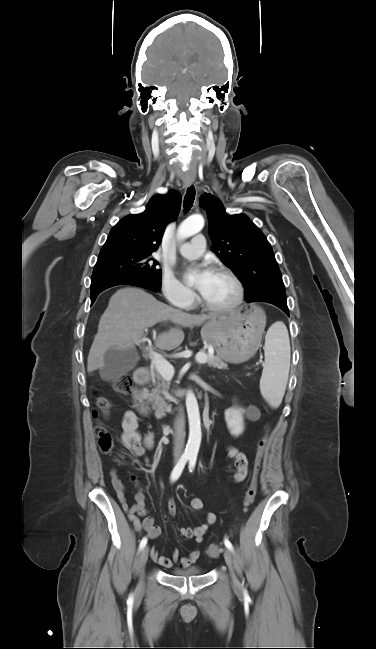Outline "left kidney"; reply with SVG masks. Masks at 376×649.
<instances>
[{"label":"left kidney","mask_w":376,"mask_h":649,"mask_svg":"<svg viewBox=\"0 0 376 649\" xmlns=\"http://www.w3.org/2000/svg\"><path fill=\"white\" fill-rule=\"evenodd\" d=\"M242 408H229L225 411V421L230 433L234 436L242 434L244 430Z\"/></svg>","instance_id":"left-kidney-1"}]
</instances>
